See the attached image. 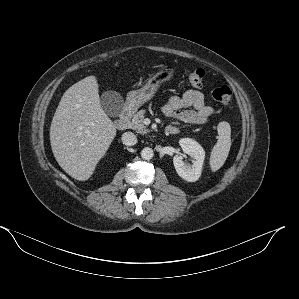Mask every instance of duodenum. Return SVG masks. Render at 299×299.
<instances>
[{"instance_id":"410a0bca","label":"duodenum","mask_w":299,"mask_h":299,"mask_svg":"<svg viewBox=\"0 0 299 299\" xmlns=\"http://www.w3.org/2000/svg\"><path fill=\"white\" fill-rule=\"evenodd\" d=\"M132 114V109L130 107H126L120 118L116 121V127L120 130H124L128 127V122H129V118ZM177 133V130L173 127H167L165 129V134L167 135H173V134H176Z\"/></svg>"}]
</instances>
